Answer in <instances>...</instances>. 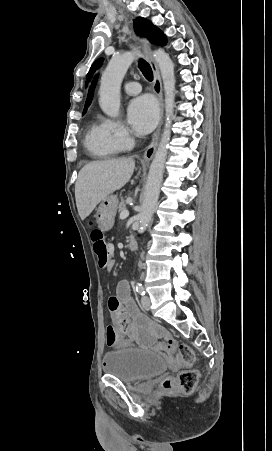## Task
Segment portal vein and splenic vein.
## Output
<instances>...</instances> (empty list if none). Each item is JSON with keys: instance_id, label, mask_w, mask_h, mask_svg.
<instances>
[{"instance_id": "1", "label": "portal vein and splenic vein", "mask_w": 272, "mask_h": 451, "mask_svg": "<svg viewBox=\"0 0 272 451\" xmlns=\"http://www.w3.org/2000/svg\"><path fill=\"white\" fill-rule=\"evenodd\" d=\"M129 212L128 210H124V212H121L120 214V220H125V218H128Z\"/></svg>"}]
</instances>
